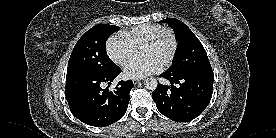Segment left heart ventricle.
I'll return each instance as SVG.
<instances>
[{"label": "left heart ventricle", "mask_w": 276, "mask_h": 138, "mask_svg": "<svg viewBox=\"0 0 276 138\" xmlns=\"http://www.w3.org/2000/svg\"><path fill=\"white\" fill-rule=\"evenodd\" d=\"M172 48V42L168 35H164L158 44L154 46H146L141 50L143 57L156 58L160 63H163L168 57Z\"/></svg>", "instance_id": "1"}]
</instances>
